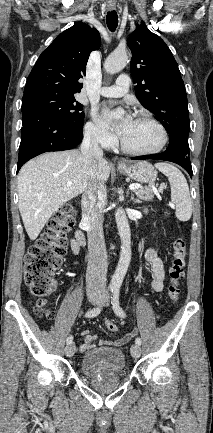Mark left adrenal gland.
<instances>
[{
  "instance_id": "obj_1",
  "label": "left adrenal gland",
  "mask_w": 213,
  "mask_h": 433,
  "mask_svg": "<svg viewBox=\"0 0 213 433\" xmlns=\"http://www.w3.org/2000/svg\"><path fill=\"white\" fill-rule=\"evenodd\" d=\"M131 200H132L135 204H140V203H141L140 200L134 199V195H133V194H131Z\"/></svg>"
}]
</instances>
